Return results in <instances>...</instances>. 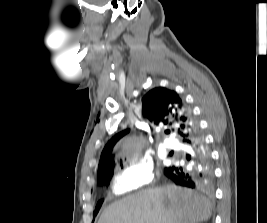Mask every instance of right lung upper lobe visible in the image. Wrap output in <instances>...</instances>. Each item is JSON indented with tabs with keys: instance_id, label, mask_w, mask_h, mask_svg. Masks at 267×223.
I'll use <instances>...</instances> for the list:
<instances>
[{
	"instance_id": "cb5924a9",
	"label": "right lung upper lobe",
	"mask_w": 267,
	"mask_h": 223,
	"mask_svg": "<svg viewBox=\"0 0 267 223\" xmlns=\"http://www.w3.org/2000/svg\"><path fill=\"white\" fill-rule=\"evenodd\" d=\"M142 111L155 125L169 126L183 141L193 135L194 120L192 113L179 95L164 87L150 90L142 99ZM129 132V129L115 135L105 146L98 166V179L110 168H114L115 160L111 151L119 139Z\"/></svg>"
}]
</instances>
